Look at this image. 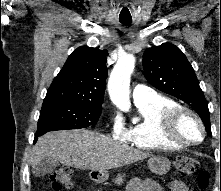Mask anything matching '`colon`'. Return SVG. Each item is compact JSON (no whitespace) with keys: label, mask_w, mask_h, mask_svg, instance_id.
<instances>
[{"label":"colon","mask_w":221,"mask_h":191,"mask_svg":"<svg viewBox=\"0 0 221 191\" xmlns=\"http://www.w3.org/2000/svg\"><path fill=\"white\" fill-rule=\"evenodd\" d=\"M175 166L182 176H189L198 170L199 162L195 158L183 156L176 158ZM72 177L73 173L69 168H60L54 171L50 176L53 190L61 191L62 188H70L72 186ZM208 180L209 174L203 171L199 177L198 189L194 191L205 188Z\"/></svg>","instance_id":"colon-1"}]
</instances>
